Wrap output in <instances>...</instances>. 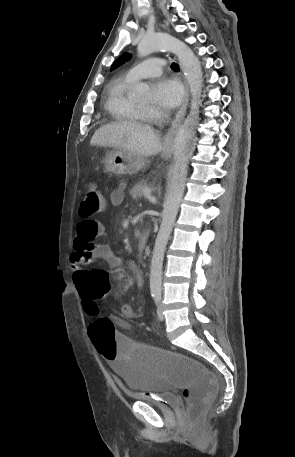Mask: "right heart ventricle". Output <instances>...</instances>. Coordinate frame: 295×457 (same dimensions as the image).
<instances>
[{
	"instance_id": "obj_1",
	"label": "right heart ventricle",
	"mask_w": 295,
	"mask_h": 457,
	"mask_svg": "<svg viewBox=\"0 0 295 457\" xmlns=\"http://www.w3.org/2000/svg\"><path fill=\"white\" fill-rule=\"evenodd\" d=\"M135 80L125 77L111 82L106 90L105 106L119 122L141 123L147 120L144 107L130 97Z\"/></svg>"
}]
</instances>
